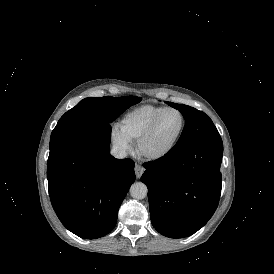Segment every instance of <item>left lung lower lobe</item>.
<instances>
[{"instance_id":"0a47b994","label":"left lung lower lobe","mask_w":274,"mask_h":274,"mask_svg":"<svg viewBox=\"0 0 274 274\" xmlns=\"http://www.w3.org/2000/svg\"><path fill=\"white\" fill-rule=\"evenodd\" d=\"M221 139L170 150L143 164L141 181L148 187L151 222L170 238L187 237L214 214L221 194Z\"/></svg>"}]
</instances>
